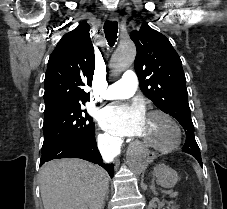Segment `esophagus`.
Returning a JSON list of instances; mask_svg holds the SVG:
<instances>
[{"label": "esophagus", "mask_w": 227, "mask_h": 209, "mask_svg": "<svg viewBox=\"0 0 227 209\" xmlns=\"http://www.w3.org/2000/svg\"><path fill=\"white\" fill-rule=\"evenodd\" d=\"M109 18L111 20H116L118 18L117 14H110ZM143 163L144 164H149L150 161H152V159H154V157L156 156V153L153 151H144L143 152Z\"/></svg>", "instance_id": "obj_1"}]
</instances>
